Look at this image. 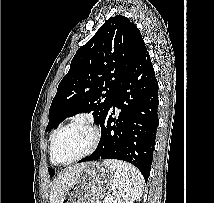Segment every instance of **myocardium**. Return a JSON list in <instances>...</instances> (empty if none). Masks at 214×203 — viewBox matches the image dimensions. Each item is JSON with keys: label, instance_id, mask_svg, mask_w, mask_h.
Wrapping results in <instances>:
<instances>
[{"label": "myocardium", "instance_id": "obj_1", "mask_svg": "<svg viewBox=\"0 0 214 203\" xmlns=\"http://www.w3.org/2000/svg\"><path fill=\"white\" fill-rule=\"evenodd\" d=\"M72 126H84V127L88 128L92 132V142L86 151H84L82 154L75 157L74 159H71L67 162H58V161H56L55 155H54L55 144H56L57 138L65 129L72 127ZM100 138H101V131H100L99 127L96 124H94L93 122H90L87 120L70 121V122L64 124L63 126H61L58 130H56L52 137L51 146H50L51 161L54 164L65 166V165H70L72 163H75L79 160H82L85 157L89 156L97 148Z\"/></svg>", "mask_w": 214, "mask_h": 203}]
</instances>
